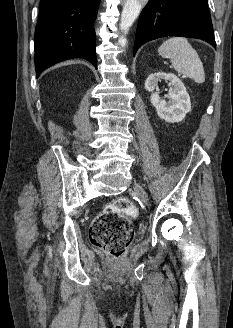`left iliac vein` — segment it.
Returning a JSON list of instances; mask_svg holds the SVG:
<instances>
[{"label": "left iliac vein", "mask_w": 233, "mask_h": 328, "mask_svg": "<svg viewBox=\"0 0 233 328\" xmlns=\"http://www.w3.org/2000/svg\"><path fill=\"white\" fill-rule=\"evenodd\" d=\"M134 189L144 202H148V195L140 184H135Z\"/></svg>", "instance_id": "obj_1"}]
</instances>
